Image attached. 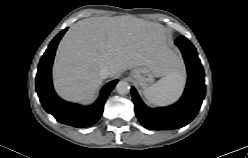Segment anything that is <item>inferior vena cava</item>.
<instances>
[{"label":"inferior vena cava","mask_w":248,"mask_h":158,"mask_svg":"<svg viewBox=\"0 0 248 158\" xmlns=\"http://www.w3.org/2000/svg\"><path fill=\"white\" fill-rule=\"evenodd\" d=\"M99 75L102 79H106L109 77L110 75V70L107 67H103L100 72Z\"/></svg>","instance_id":"1"}]
</instances>
